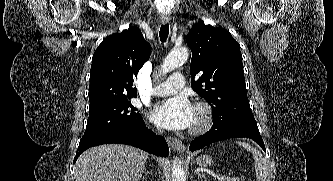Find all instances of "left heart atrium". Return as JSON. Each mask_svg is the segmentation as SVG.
Wrapping results in <instances>:
<instances>
[{
  "mask_svg": "<svg viewBox=\"0 0 333 181\" xmlns=\"http://www.w3.org/2000/svg\"><path fill=\"white\" fill-rule=\"evenodd\" d=\"M150 119L166 129H186L194 124L195 109L185 96H176L156 104Z\"/></svg>",
  "mask_w": 333,
  "mask_h": 181,
  "instance_id": "left-heart-atrium-1",
  "label": "left heart atrium"
}]
</instances>
